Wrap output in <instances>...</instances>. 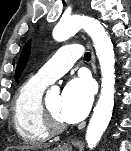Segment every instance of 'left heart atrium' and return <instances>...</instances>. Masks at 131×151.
<instances>
[{
	"instance_id": "left-heart-atrium-1",
	"label": "left heart atrium",
	"mask_w": 131,
	"mask_h": 151,
	"mask_svg": "<svg viewBox=\"0 0 131 151\" xmlns=\"http://www.w3.org/2000/svg\"><path fill=\"white\" fill-rule=\"evenodd\" d=\"M93 84L87 77H77L63 90L60 117L64 122L76 123L88 114L93 101Z\"/></svg>"
}]
</instances>
